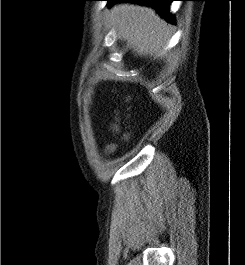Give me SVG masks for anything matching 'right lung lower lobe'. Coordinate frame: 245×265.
<instances>
[{
  "label": "right lung lower lobe",
  "instance_id": "1",
  "mask_svg": "<svg viewBox=\"0 0 245 265\" xmlns=\"http://www.w3.org/2000/svg\"><path fill=\"white\" fill-rule=\"evenodd\" d=\"M108 1V6H112L114 3L119 1H127V2H134L145 4L155 8L159 14H161L165 19L174 23L172 16L169 14V6L173 0H106Z\"/></svg>",
  "mask_w": 245,
  "mask_h": 265
}]
</instances>
